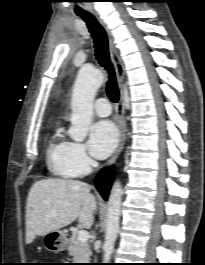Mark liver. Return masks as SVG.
Masks as SVG:
<instances>
[{
  "mask_svg": "<svg viewBox=\"0 0 205 265\" xmlns=\"http://www.w3.org/2000/svg\"><path fill=\"white\" fill-rule=\"evenodd\" d=\"M87 183L77 180L43 179L31 187L26 204V244L37 235L57 231L78 218L80 226L91 228L97 208Z\"/></svg>",
  "mask_w": 205,
  "mask_h": 265,
  "instance_id": "obj_1",
  "label": "liver"
}]
</instances>
